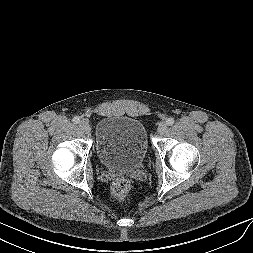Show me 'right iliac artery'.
Wrapping results in <instances>:
<instances>
[{"instance_id": "right-iliac-artery-1", "label": "right iliac artery", "mask_w": 253, "mask_h": 253, "mask_svg": "<svg viewBox=\"0 0 253 253\" xmlns=\"http://www.w3.org/2000/svg\"><path fill=\"white\" fill-rule=\"evenodd\" d=\"M72 122H73L74 124H78V123L80 122V118H79V117H74V118L72 119Z\"/></svg>"}]
</instances>
